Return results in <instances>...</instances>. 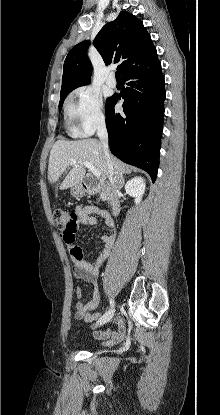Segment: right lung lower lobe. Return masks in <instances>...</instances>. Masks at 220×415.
Instances as JSON below:
<instances>
[{
    "label": "right lung lower lobe",
    "mask_w": 220,
    "mask_h": 415,
    "mask_svg": "<svg viewBox=\"0 0 220 415\" xmlns=\"http://www.w3.org/2000/svg\"><path fill=\"white\" fill-rule=\"evenodd\" d=\"M127 87L106 104V126L111 152L139 167L156 180L164 114V76L157 59L149 66L123 76ZM123 112L116 113L118 99Z\"/></svg>",
    "instance_id": "right-lung-lower-lobe-1"
}]
</instances>
